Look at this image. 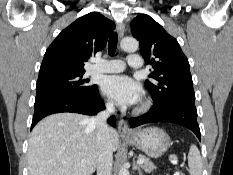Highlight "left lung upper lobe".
<instances>
[{"label":"left lung upper lobe","mask_w":233,"mask_h":175,"mask_svg":"<svg viewBox=\"0 0 233 175\" xmlns=\"http://www.w3.org/2000/svg\"><path fill=\"white\" fill-rule=\"evenodd\" d=\"M133 36L140 42V52L154 71L145 87L153 99L154 109H161L179 100L195 101L189 62L177 40L147 15H138L131 22Z\"/></svg>","instance_id":"5c2ea615"}]
</instances>
